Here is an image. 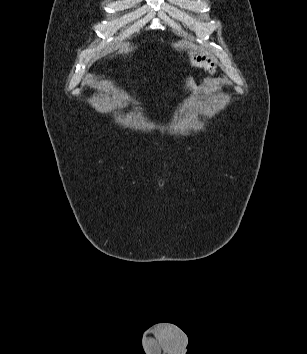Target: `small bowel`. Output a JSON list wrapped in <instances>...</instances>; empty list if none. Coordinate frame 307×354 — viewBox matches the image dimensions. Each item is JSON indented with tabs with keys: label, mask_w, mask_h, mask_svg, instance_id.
<instances>
[{
	"label": "small bowel",
	"mask_w": 307,
	"mask_h": 354,
	"mask_svg": "<svg viewBox=\"0 0 307 354\" xmlns=\"http://www.w3.org/2000/svg\"><path fill=\"white\" fill-rule=\"evenodd\" d=\"M187 57L191 65L198 68L205 69L213 74L216 72L215 62L212 59H210L207 55L200 52H190L188 53ZM210 80L211 79L208 78L206 82L208 83L210 82ZM180 85L183 92L188 96H193L197 91V87L193 83L190 75L188 74H184L181 76Z\"/></svg>",
	"instance_id": "c3829d8e"
}]
</instances>
